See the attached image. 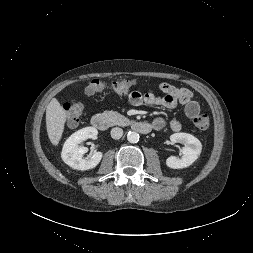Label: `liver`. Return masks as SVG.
<instances>
[{
    "mask_svg": "<svg viewBox=\"0 0 253 253\" xmlns=\"http://www.w3.org/2000/svg\"><path fill=\"white\" fill-rule=\"evenodd\" d=\"M67 114L56 98H53L46 109V127L48 137L54 146L61 140Z\"/></svg>",
    "mask_w": 253,
    "mask_h": 253,
    "instance_id": "liver-1",
    "label": "liver"
}]
</instances>
